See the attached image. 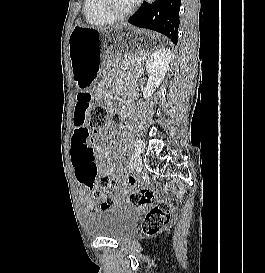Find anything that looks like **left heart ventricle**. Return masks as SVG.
Listing matches in <instances>:
<instances>
[{
    "label": "left heart ventricle",
    "instance_id": "b2bd125f",
    "mask_svg": "<svg viewBox=\"0 0 265 273\" xmlns=\"http://www.w3.org/2000/svg\"><path fill=\"white\" fill-rule=\"evenodd\" d=\"M135 0H111L110 8L115 13H122L128 10Z\"/></svg>",
    "mask_w": 265,
    "mask_h": 273
}]
</instances>
